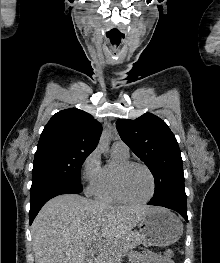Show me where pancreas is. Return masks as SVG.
Instances as JSON below:
<instances>
[{"instance_id":"1","label":"pancreas","mask_w":220,"mask_h":263,"mask_svg":"<svg viewBox=\"0 0 220 263\" xmlns=\"http://www.w3.org/2000/svg\"><path fill=\"white\" fill-rule=\"evenodd\" d=\"M142 243L140 234L138 232H131L127 235L124 242L119 245L117 253H126L128 250L134 248L136 245ZM113 252L109 251V256H112Z\"/></svg>"}]
</instances>
